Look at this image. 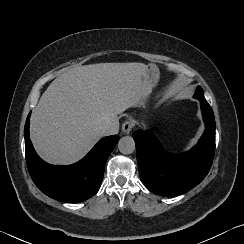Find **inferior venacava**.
I'll use <instances>...</instances> for the list:
<instances>
[{"label": "inferior vena cava", "instance_id": "602c4592", "mask_svg": "<svg viewBox=\"0 0 244 244\" xmlns=\"http://www.w3.org/2000/svg\"><path fill=\"white\" fill-rule=\"evenodd\" d=\"M117 132H118V125L117 123L112 121L105 122L100 127V133L102 136L113 135L116 134Z\"/></svg>", "mask_w": 244, "mask_h": 244}]
</instances>
